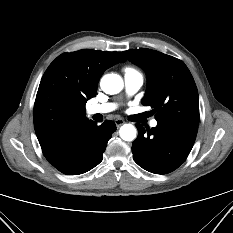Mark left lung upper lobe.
I'll return each instance as SVG.
<instances>
[{"instance_id": "obj_1", "label": "left lung upper lobe", "mask_w": 233, "mask_h": 233, "mask_svg": "<svg viewBox=\"0 0 233 233\" xmlns=\"http://www.w3.org/2000/svg\"><path fill=\"white\" fill-rule=\"evenodd\" d=\"M148 78L142 104L150 105L161 124H199V98L194 79L183 61L150 49L123 51Z\"/></svg>"}]
</instances>
